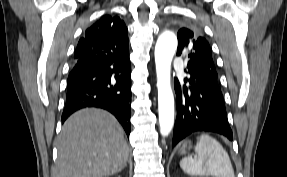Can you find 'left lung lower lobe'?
I'll use <instances>...</instances> for the list:
<instances>
[{
	"instance_id": "left-lung-lower-lobe-1",
	"label": "left lung lower lobe",
	"mask_w": 287,
	"mask_h": 177,
	"mask_svg": "<svg viewBox=\"0 0 287 177\" xmlns=\"http://www.w3.org/2000/svg\"><path fill=\"white\" fill-rule=\"evenodd\" d=\"M189 76L174 81L177 118L172 146L194 131H213L232 140L223 95L216 84H205L188 70Z\"/></svg>"
}]
</instances>
